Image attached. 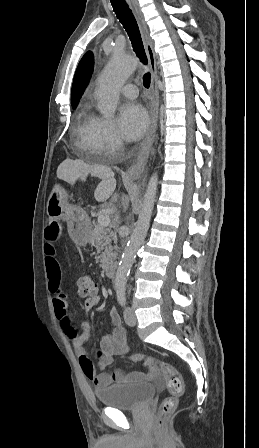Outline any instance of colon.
Segmentation results:
<instances>
[{"mask_svg": "<svg viewBox=\"0 0 259 448\" xmlns=\"http://www.w3.org/2000/svg\"><path fill=\"white\" fill-rule=\"evenodd\" d=\"M77 292L83 298L94 296L98 292V284L90 275L82 274L77 279ZM98 356L100 358L103 356L102 350L99 351ZM128 358L132 361H145L157 365L166 379L170 395L163 400L157 418V428L162 429L170 414L176 409L179 398L184 393L183 379L174 366L156 357L135 354Z\"/></svg>", "mask_w": 259, "mask_h": 448, "instance_id": "colon-1", "label": "colon"}]
</instances>
